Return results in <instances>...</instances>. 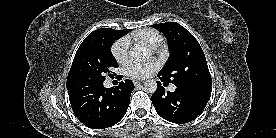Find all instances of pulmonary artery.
<instances>
[{"label": "pulmonary artery", "mask_w": 276, "mask_h": 138, "mask_svg": "<svg viewBox=\"0 0 276 138\" xmlns=\"http://www.w3.org/2000/svg\"><path fill=\"white\" fill-rule=\"evenodd\" d=\"M174 88H175V87H174V86H172V87H171V90H174Z\"/></svg>", "instance_id": "obj_1"}]
</instances>
